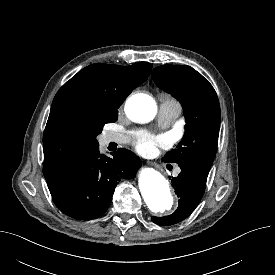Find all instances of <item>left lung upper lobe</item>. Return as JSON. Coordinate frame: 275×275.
I'll list each match as a JSON object with an SVG mask.
<instances>
[{
	"label": "left lung upper lobe",
	"instance_id": "obj_1",
	"mask_svg": "<svg viewBox=\"0 0 275 275\" xmlns=\"http://www.w3.org/2000/svg\"><path fill=\"white\" fill-rule=\"evenodd\" d=\"M152 78L159 88L179 100L186 119L183 140L163 161L179 166L199 164L210 169L221 120L214 88L190 66L162 65L154 68Z\"/></svg>",
	"mask_w": 275,
	"mask_h": 275
}]
</instances>
